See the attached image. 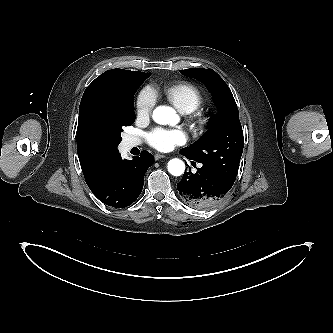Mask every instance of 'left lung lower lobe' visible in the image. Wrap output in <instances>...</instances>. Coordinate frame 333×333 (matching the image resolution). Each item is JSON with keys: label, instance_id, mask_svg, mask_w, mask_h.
I'll return each instance as SVG.
<instances>
[{"label": "left lung lower lobe", "instance_id": "left-lung-lower-lobe-1", "mask_svg": "<svg viewBox=\"0 0 333 333\" xmlns=\"http://www.w3.org/2000/svg\"><path fill=\"white\" fill-rule=\"evenodd\" d=\"M180 153L188 158L183 152ZM197 170L195 174L185 172L177 189L188 205L197 209H210L222 200L234 183L205 165Z\"/></svg>", "mask_w": 333, "mask_h": 333}]
</instances>
